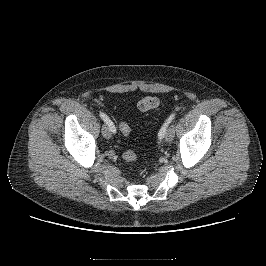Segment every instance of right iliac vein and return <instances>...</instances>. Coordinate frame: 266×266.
I'll return each mask as SVG.
<instances>
[{"label": "right iliac vein", "instance_id": "obj_1", "mask_svg": "<svg viewBox=\"0 0 266 266\" xmlns=\"http://www.w3.org/2000/svg\"><path fill=\"white\" fill-rule=\"evenodd\" d=\"M102 134L107 139L111 137V130L107 125L102 126Z\"/></svg>", "mask_w": 266, "mask_h": 266}]
</instances>
